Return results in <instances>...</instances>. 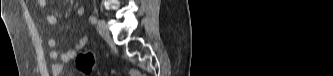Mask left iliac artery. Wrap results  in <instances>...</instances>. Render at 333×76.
Masks as SVG:
<instances>
[{
	"label": "left iliac artery",
	"instance_id": "obj_1",
	"mask_svg": "<svg viewBox=\"0 0 333 76\" xmlns=\"http://www.w3.org/2000/svg\"><path fill=\"white\" fill-rule=\"evenodd\" d=\"M89 21H90L92 24H95V23H97V17H96V16H91V17L89 18Z\"/></svg>",
	"mask_w": 333,
	"mask_h": 76
}]
</instances>
